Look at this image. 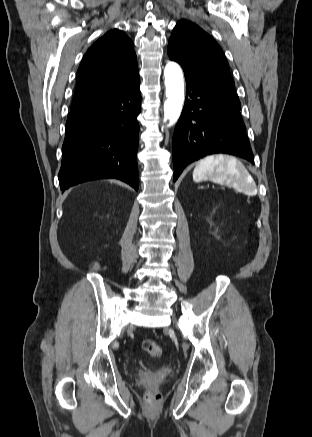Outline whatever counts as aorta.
<instances>
[{
  "mask_svg": "<svg viewBox=\"0 0 312 437\" xmlns=\"http://www.w3.org/2000/svg\"><path fill=\"white\" fill-rule=\"evenodd\" d=\"M166 101L164 103V121L172 126L180 117L184 102L183 73L175 62H169L164 69Z\"/></svg>",
  "mask_w": 312,
  "mask_h": 437,
  "instance_id": "762f6f07",
  "label": "aorta"
}]
</instances>
